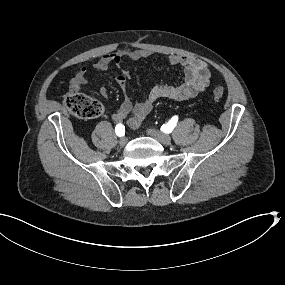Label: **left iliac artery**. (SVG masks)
I'll return each mask as SVG.
<instances>
[{
	"instance_id": "44dca946",
	"label": "left iliac artery",
	"mask_w": 285,
	"mask_h": 285,
	"mask_svg": "<svg viewBox=\"0 0 285 285\" xmlns=\"http://www.w3.org/2000/svg\"><path fill=\"white\" fill-rule=\"evenodd\" d=\"M177 121H178V117H177V116H173V117L171 118V120H170L167 124H163V125H162L161 131L166 132V131H167V128H170V130H173L174 127H175L176 124H177Z\"/></svg>"
}]
</instances>
